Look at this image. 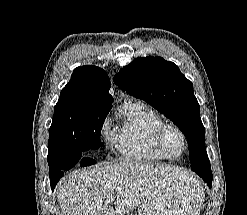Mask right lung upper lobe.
Instances as JSON below:
<instances>
[{"label":"right lung upper lobe","mask_w":247,"mask_h":215,"mask_svg":"<svg viewBox=\"0 0 247 215\" xmlns=\"http://www.w3.org/2000/svg\"><path fill=\"white\" fill-rule=\"evenodd\" d=\"M110 86V79L103 69L83 66L74 69L71 80L61 92H72L87 103L110 109L113 101L108 94Z\"/></svg>","instance_id":"cb5924a9"}]
</instances>
